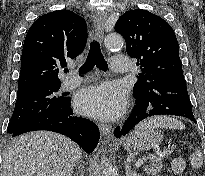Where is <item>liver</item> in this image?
Here are the masks:
<instances>
[{"label": "liver", "instance_id": "6515ba94", "mask_svg": "<svg viewBox=\"0 0 205 176\" xmlns=\"http://www.w3.org/2000/svg\"><path fill=\"white\" fill-rule=\"evenodd\" d=\"M82 150L71 139L34 131L12 140L3 157V176H72Z\"/></svg>", "mask_w": 205, "mask_h": 176}]
</instances>
